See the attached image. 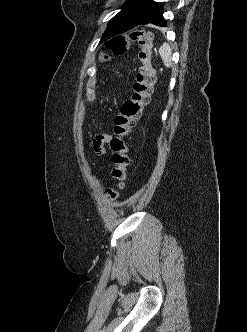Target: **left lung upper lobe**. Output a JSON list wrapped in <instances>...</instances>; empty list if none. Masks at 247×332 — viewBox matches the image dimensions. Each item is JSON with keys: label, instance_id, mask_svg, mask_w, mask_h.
<instances>
[{"label": "left lung upper lobe", "instance_id": "left-lung-upper-lobe-1", "mask_svg": "<svg viewBox=\"0 0 247 332\" xmlns=\"http://www.w3.org/2000/svg\"><path fill=\"white\" fill-rule=\"evenodd\" d=\"M148 0H127L123 5V9L115 15L108 23L107 29L105 30L101 42H105L108 39L118 35L120 29L128 20L133 18L137 11L147 2Z\"/></svg>", "mask_w": 247, "mask_h": 332}]
</instances>
